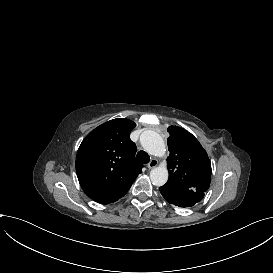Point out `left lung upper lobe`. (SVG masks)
I'll use <instances>...</instances> for the list:
<instances>
[{
    "label": "left lung upper lobe",
    "instance_id": "obj_1",
    "mask_svg": "<svg viewBox=\"0 0 273 273\" xmlns=\"http://www.w3.org/2000/svg\"><path fill=\"white\" fill-rule=\"evenodd\" d=\"M168 132L169 178L164 187L204 193L211 182V163L205 149L183 128L170 126Z\"/></svg>",
    "mask_w": 273,
    "mask_h": 273
}]
</instances>
